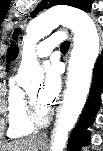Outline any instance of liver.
Wrapping results in <instances>:
<instances>
[{
  "mask_svg": "<svg viewBox=\"0 0 103 151\" xmlns=\"http://www.w3.org/2000/svg\"><path fill=\"white\" fill-rule=\"evenodd\" d=\"M37 137L19 139L1 146L0 151H37Z\"/></svg>",
  "mask_w": 103,
  "mask_h": 151,
  "instance_id": "1",
  "label": "liver"
}]
</instances>
